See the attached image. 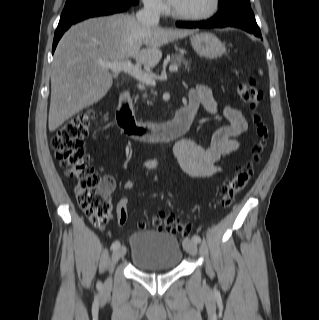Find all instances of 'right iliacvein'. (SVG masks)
<instances>
[{
	"label": "right iliac vein",
	"mask_w": 319,
	"mask_h": 320,
	"mask_svg": "<svg viewBox=\"0 0 319 320\" xmlns=\"http://www.w3.org/2000/svg\"><path fill=\"white\" fill-rule=\"evenodd\" d=\"M125 252H126L125 246H120L117 249H115L112 254L111 266H114L116 262H118V260L124 256ZM110 285H111V279L109 278L105 282V286L109 287Z\"/></svg>",
	"instance_id": "right-iliac-vein-1"
}]
</instances>
